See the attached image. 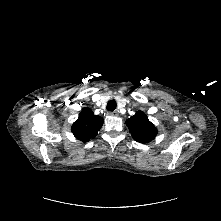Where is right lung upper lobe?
I'll return each mask as SVG.
<instances>
[{
    "label": "right lung upper lobe",
    "mask_w": 221,
    "mask_h": 221,
    "mask_svg": "<svg viewBox=\"0 0 221 221\" xmlns=\"http://www.w3.org/2000/svg\"><path fill=\"white\" fill-rule=\"evenodd\" d=\"M103 118L94 115L91 109L85 107L79 114L78 119L73 123L71 131L74 136L82 142H88L94 138L103 125Z\"/></svg>",
    "instance_id": "cb5924a9"
}]
</instances>
